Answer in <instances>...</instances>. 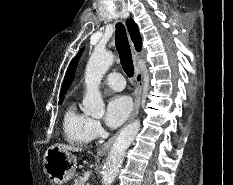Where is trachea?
I'll list each match as a JSON object with an SVG mask.
<instances>
[{"instance_id":"trachea-1","label":"trachea","mask_w":233,"mask_h":185,"mask_svg":"<svg viewBox=\"0 0 233 185\" xmlns=\"http://www.w3.org/2000/svg\"><path fill=\"white\" fill-rule=\"evenodd\" d=\"M115 44L118 51L121 65L128 77L134 75V66L126 29L122 23L116 24Z\"/></svg>"}]
</instances>
